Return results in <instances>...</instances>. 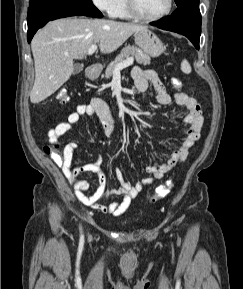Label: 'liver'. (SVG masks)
<instances>
[{
    "label": "liver",
    "mask_w": 243,
    "mask_h": 289,
    "mask_svg": "<svg viewBox=\"0 0 243 289\" xmlns=\"http://www.w3.org/2000/svg\"><path fill=\"white\" fill-rule=\"evenodd\" d=\"M144 28L134 23L76 17L49 22L31 42L35 81L30 101L39 103L56 92L72 75L73 59H83L93 44L99 43L101 53L109 54Z\"/></svg>",
    "instance_id": "1"
}]
</instances>
